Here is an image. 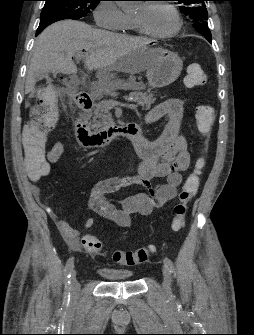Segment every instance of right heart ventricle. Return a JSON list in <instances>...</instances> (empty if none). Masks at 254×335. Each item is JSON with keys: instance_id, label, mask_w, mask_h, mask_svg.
I'll list each match as a JSON object with an SVG mask.
<instances>
[{"instance_id": "1", "label": "right heart ventricle", "mask_w": 254, "mask_h": 335, "mask_svg": "<svg viewBox=\"0 0 254 335\" xmlns=\"http://www.w3.org/2000/svg\"><path fill=\"white\" fill-rule=\"evenodd\" d=\"M127 29L131 30V31H136L137 30V27H136V25H135V23H134L133 20H130V23H129Z\"/></svg>"}]
</instances>
